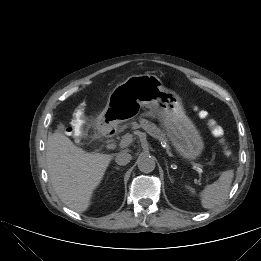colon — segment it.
I'll list each match as a JSON object with an SVG mask.
<instances>
[{"instance_id":"colon-1","label":"colon","mask_w":261,"mask_h":261,"mask_svg":"<svg viewBox=\"0 0 261 261\" xmlns=\"http://www.w3.org/2000/svg\"><path fill=\"white\" fill-rule=\"evenodd\" d=\"M198 115H199V117L204 119L207 117V112L204 110H201V111H199ZM207 124L209 126L212 136L218 140L224 155L230 156L231 152L226 144L223 128L220 125H218L217 122L213 119H208ZM68 131L70 132V134H74V132H75L73 128H69Z\"/></svg>"}]
</instances>
